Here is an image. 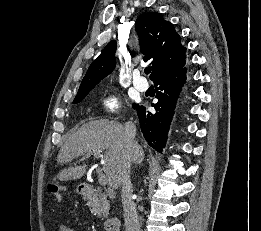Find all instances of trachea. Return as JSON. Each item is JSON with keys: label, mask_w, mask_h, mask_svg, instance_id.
Listing matches in <instances>:
<instances>
[{"label": "trachea", "mask_w": 261, "mask_h": 231, "mask_svg": "<svg viewBox=\"0 0 261 231\" xmlns=\"http://www.w3.org/2000/svg\"><path fill=\"white\" fill-rule=\"evenodd\" d=\"M144 72H145L146 74H149V73L151 72V68H150V67L145 68Z\"/></svg>", "instance_id": "trachea-1"}]
</instances>
